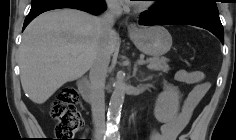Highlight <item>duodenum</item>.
<instances>
[{"instance_id":"obj_1","label":"duodenum","mask_w":236,"mask_h":140,"mask_svg":"<svg viewBox=\"0 0 236 140\" xmlns=\"http://www.w3.org/2000/svg\"><path fill=\"white\" fill-rule=\"evenodd\" d=\"M79 91L85 101H90L92 98V92L89 80L86 77H82L78 80Z\"/></svg>"}]
</instances>
